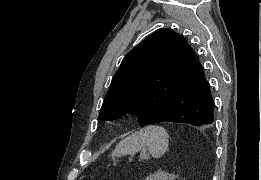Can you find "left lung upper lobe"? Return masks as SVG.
<instances>
[{"instance_id":"obj_1","label":"left lung upper lobe","mask_w":261,"mask_h":180,"mask_svg":"<svg viewBox=\"0 0 261 180\" xmlns=\"http://www.w3.org/2000/svg\"><path fill=\"white\" fill-rule=\"evenodd\" d=\"M196 64L192 49L180 34L157 30L123 59L99 118L112 120L133 111L140 116L141 126L153 123Z\"/></svg>"}]
</instances>
